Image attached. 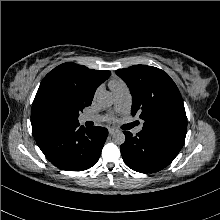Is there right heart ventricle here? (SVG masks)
Returning a JSON list of instances; mask_svg holds the SVG:
<instances>
[{
    "instance_id": "1",
    "label": "right heart ventricle",
    "mask_w": 220,
    "mask_h": 220,
    "mask_svg": "<svg viewBox=\"0 0 220 220\" xmlns=\"http://www.w3.org/2000/svg\"><path fill=\"white\" fill-rule=\"evenodd\" d=\"M122 85H124L123 82L120 81V80H118V79H113V80H111L110 83H109V86H110V88H111L112 91L115 90V89H117L118 87H120V86H122Z\"/></svg>"
}]
</instances>
